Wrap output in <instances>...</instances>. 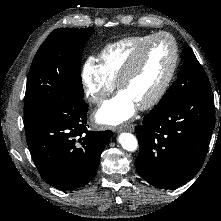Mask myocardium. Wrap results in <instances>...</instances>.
<instances>
[{
  "label": "myocardium",
  "mask_w": 221,
  "mask_h": 221,
  "mask_svg": "<svg viewBox=\"0 0 221 221\" xmlns=\"http://www.w3.org/2000/svg\"><path fill=\"white\" fill-rule=\"evenodd\" d=\"M161 37L169 38L172 42L173 58H172L171 66L169 68V71L165 79L163 80L158 90L154 93V95L150 99H148L146 102L138 106L140 110H148V109L155 107L162 100V98L168 91L170 84L174 78L175 72L177 70L178 62H179V47H178L176 39L168 32H158V33L153 34L145 42H143L138 47V49L134 52V54L131 56V58L127 62L126 66L124 67L123 71L121 72L117 80V88L119 91H121L125 83L128 82L139 70L142 64L144 53L146 49L148 48V46L151 43H153L155 40Z\"/></svg>",
  "instance_id": "f54148a6"
}]
</instances>
